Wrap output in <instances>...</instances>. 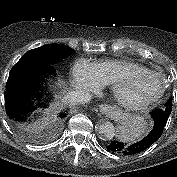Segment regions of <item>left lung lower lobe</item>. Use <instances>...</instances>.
Here are the masks:
<instances>
[{
  "label": "left lung lower lobe",
  "instance_id": "left-lung-lower-lobe-1",
  "mask_svg": "<svg viewBox=\"0 0 177 177\" xmlns=\"http://www.w3.org/2000/svg\"><path fill=\"white\" fill-rule=\"evenodd\" d=\"M169 109L170 107L157 109L150 113L154 121L153 128L141 141L130 146L119 141H112L107 148L114 153L123 155H134L148 149L161 137L168 117L171 114Z\"/></svg>",
  "mask_w": 177,
  "mask_h": 177
}]
</instances>
